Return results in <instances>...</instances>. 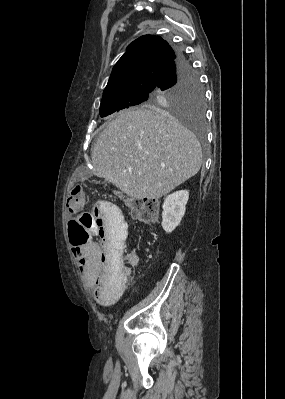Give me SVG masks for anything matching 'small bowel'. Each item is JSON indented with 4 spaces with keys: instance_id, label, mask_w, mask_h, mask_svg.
Segmentation results:
<instances>
[{
    "instance_id": "1",
    "label": "small bowel",
    "mask_w": 285,
    "mask_h": 399,
    "mask_svg": "<svg viewBox=\"0 0 285 399\" xmlns=\"http://www.w3.org/2000/svg\"><path fill=\"white\" fill-rule=\"evenodd\" d=\"M88 232L99 235V242H89L75 248L78 265L84 280L92 286L94 298L100 306H108L123 293L125 282L117 265H111L113 245L121 250L128 237V224L123 215L108 201H96L91 210ZM86 225V224H85ZM137 255H132L131 265L137 264Z\"/></svg>"
}]
</instances>
